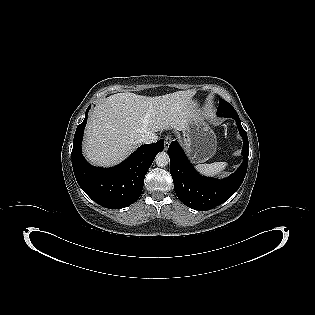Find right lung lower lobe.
<instances>
[{
	"instance_id": "1",
	"label": "right lung lower lobe",
	"mask_w": 315,
	"mask_h": 315,
	"mask_svg": "<svg viewBox=\"0 0 315 315\" xmlns=\"http://www.w3.org/2000/svg\"><path fill=\"white\" fill-rule=\"evenodd\" d=\"M78 125L72 150V166L79 186L99 205L119 209L131 205L141 195L144 177L156 154L164 149V140L140 146L130 157L112 168H94L83 157L81 142L87 122Z\"/></svg>"
}]
</instances>
